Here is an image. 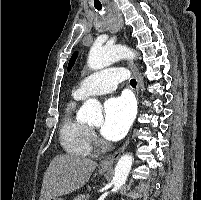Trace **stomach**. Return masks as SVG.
<instances>
[{
	"label": "stomach",
	"instance_id": "stomach-1",
	"mask_svg": "<svg viewBox=\"0 0 201 200\" xmlns=\"http://www.w3.org/2000/svg\"><path fill=\"white\" fill-rule=\"evenodd\" d=\"M103 171H107V169H103ZM50 200H63V199L60 198V197H54V198H52V199H50Z\"/></svg>",
	"mask_w": 201,
	"mask_h": 200
}]
</instances>
